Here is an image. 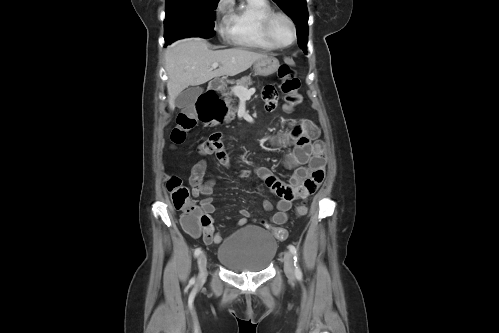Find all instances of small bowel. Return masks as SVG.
Segmentation results:
<instances>
[{
  "label": "small bowel",
  "instance_id": "obj_1",
  "mask_svg": "<svg viewBox=\"0 0 499 333\" xmlns=\"http://www.w3.org/2000/svg\"><path fill=\"white\" fill-rule=\"evenodd\" d=\"M263 98L266 108L273 110L277 102V93L272 85L264 88ZM318 136L317 126L308 119H301L294 121L289 131L277 138L279 145L286 144L291 147L285 158L286 167L292 170L288 183L278 179L265 167H258L254 171L242 170L238 173L241 178H249L252 174H256L262 179L265 186L278 197L275 206L276 212L271 216V222L275 225L286 223L293 202L312 195L324 180L326 153L324 143L318 139ZM198 153L202 156L214 155L224 167L230 165V159L220 132L213 133L204 140L198 147ZM205 170V161L195 164L191 171L189 183L194 197L203 196L200 206L209 216L215 211L212 198L215 180L204 181ZM264 208L266 211H272L274 206L270 201L265 200ZM239 214L237 225L243 226L247 223L251 213L248 209H241ZM222 240L221 234L213 233L210 240L204 241L207 244H219Z\"/></svg>",
  "mask_w": 499,
  "mask_h": 333
}]
</instances>
